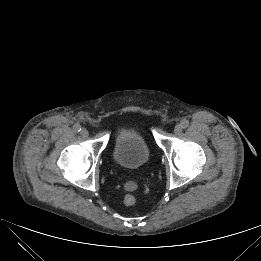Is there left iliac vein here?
<instances>
[{
	"label": "left iliac vein",
	"mask_w": 261,
	"mask_h": 261,
	"mask_svg": "<svg viewBox=\"0 0 261 261\" xmlns=\"http://www.w3.org/2000/svg\"><path fill=\"white\" fill-rule=\"evenodd\" d=\"M181 131H182L181 125H180V124H176V125L174 126V133H175V134H179Z\"/></svg>",
	"instance_id": "left-iliac-vein-1"
}]
</instances>
